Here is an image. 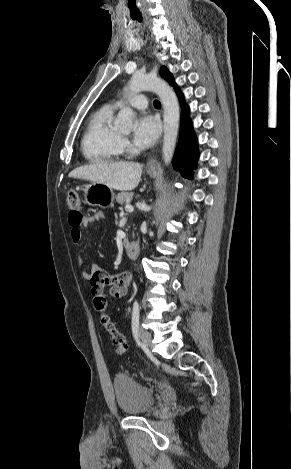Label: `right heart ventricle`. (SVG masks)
Segmentation results:
<instances>
[{
  "label": "right heart ventricle",
  "mask_w": 291,
  "mask_h": 469,
  "mask_svg": "<svg viewBox=\"0 0 291 469\" xmlns=\"http://www.w3.org/2000/svg\"><path fill=\"white\" fill-rule=\"evenodd\" d=\"M115 107L104 105L90 117L81 141L84 157L91 162L119 159L123 152L122 137L112 126Z\"/></svg>",
  "instance_id": "e07e8e85"
}]
</instances>
